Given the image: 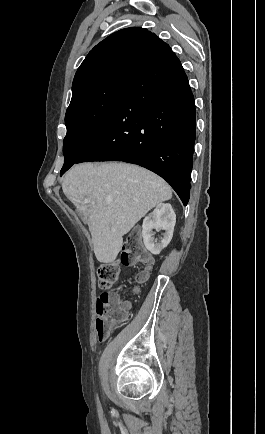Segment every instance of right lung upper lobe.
Here are the masks:
<instances>
[{"label":"right lung upper lobe","mask_w":265,"mask_h":434,"mask_svg":"<svg viewBox=\"0 0 265 434\" xmlns=\"http://www.w3.org/2000/svg\"><path fill=\"white\" fill-rule=\"evenodd\" d=\"M169 49L145 28L119 30L89 52L75 74L72 88L110 75H136Z\"/></svg>","instance_id":"cb5924a9"}]
</instances>
